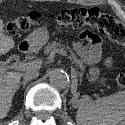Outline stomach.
<instances>
[{"label":"stomach","instance_id":"stomach-1","mask_svg":"<svg viewBox=\"0 0 125 125\" xmlns=\"http://www.w3.org/2000/svg\"><path fill=\"white\" fill-rule=\"evenodd\" d=\"M49 40V33L46 28L35 29L26 39L28 49L36 51L45 45Z\"/></svg>","mask_w":125,"mask_h":125}]
</instances>
